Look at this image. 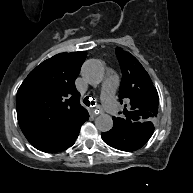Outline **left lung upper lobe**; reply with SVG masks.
<instances>
[{"label": "left lung upper lobe", "mask_w": 193, "mask_h": 193, "mask_svg": "<svg viewBox=\"0 0 193 193\" xmlns=\"http://www.w3.org/2000/svg\"><path fill=\"white\" fill-rule=\"evenodd\" d=\"M116 55L122 70L119 99L129 101L124 105L122 117H113L114 124H153L158 114V93L150 76L140 62L130 53L116 48Z\"/></svg>", "instance_id": "obj_1"}]
</instances>
